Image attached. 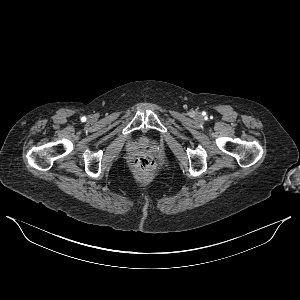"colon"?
Listing matches in <instances>:
<instances>
[{
  "label": "colon",
  "mask_w": 300,
  "mask_h": 300,
  "mask_svg": "<svg viewBox=\"0 0 300 300\" xmlns=\"http://www.w3.org/2000/svg\"><path fill=\"white\" fill-rule=\"evenodd\" d=\"M134 171L140 177H149L156 169V161L152 156L138 157L133 164Z\"/></svg>",
  "instance_id": "1"
}]
</instances>
